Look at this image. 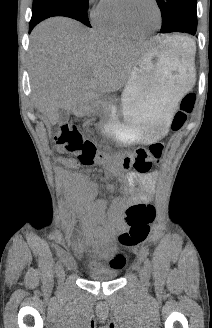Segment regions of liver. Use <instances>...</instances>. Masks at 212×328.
Returning <instances> with one entry per match:
<instances>
[{"mask_svg": "<svg viewBox=\"0 0 212 328\" xmlns=\"http://www.w3.org/2000/svg\"><path fill=\"white\" fill-rule=\"evenodd\" d=\"M143 53L130 41L102 37L73 19H47L30 40L35 107L55 125L59 109H72L87 92L124 87Z\"/></svg>", "mask_w": 212, "mask_h": 328, "instance_id": "liver-1", "label": "liver"}]
</instances>
